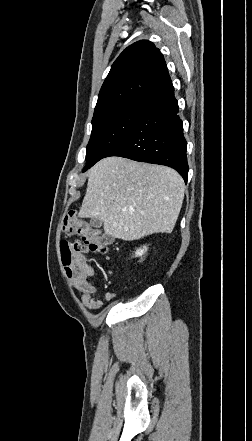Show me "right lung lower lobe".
<instances>
[{
    "instance_id": "obj_1",
    "label": "right lung lower lobe",
    "mask_w": 252,
    "mask_h": 441,
    "mask_svg": "<svg viewBox=\"0 0 252 441\" xmlns=\"http://www.w3.org/2000/svg\"><path fill=\"white\" fill-rule=\"evenodd\" d=\"M178 111V102L170 82L145 98V107L137 123L106 157L120 156L166 165L174 168L187 182V142Z\"/></svg>"
}]
</instances>
